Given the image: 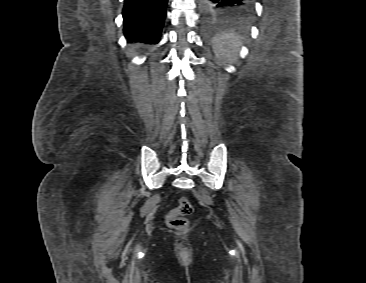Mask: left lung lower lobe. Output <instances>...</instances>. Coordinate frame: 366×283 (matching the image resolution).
<instances>
[{
  "label": "left lung lower lobe",
  "mask_w": 366,
  "mask_h": 283,
  "mask_svg": "<svg viewBox=\"0 0 366 283\" xmlns=\"http://www.w3.org/2000/svg\"><path fill=\"white\" fill-rule=\"evenodd\" d=\"M255 0H199L203 12L210 16L230 15L250 9Z\"/></svg>",
  "instance_id": "0a47b994"
}]
</instances>
